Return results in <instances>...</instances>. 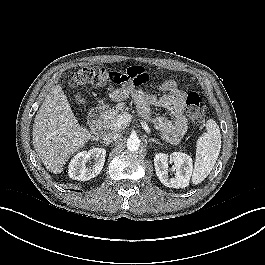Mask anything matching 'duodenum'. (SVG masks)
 <instances>
[{
    "label": "duodenum",
    "mask_w": 265,
    "mask_h": 265,
    "mask_svg": "<svg viewBox=\"0 0 265 265\" xmlns=\"http://www.w3.org/2000/svg\"><path fill=\"white\" fill-rule=\"evenodd\" d=\"M104 114V107H95L88 116V123L91 127V138L97 140L102 135L101 122Z\"/></svg>",
    "instance_id": "410a0bca"
}]
</instances>
